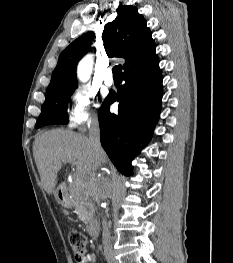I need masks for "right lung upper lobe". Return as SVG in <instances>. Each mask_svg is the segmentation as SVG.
I'll return each instance as SVG.
<instances>
[{
    "instance_id": "obj_1",
    "label": "right lung upper lobe",
    "mask_w": 233,
    "mask_h": 263,
    "mask_svg": "<svg viewBox=\"0 0 233 263\" xmlns=\"http://www.w3.org/2000/svg\"><path fill=\"white\" fill-rule=\"evenodd\" d=\"M117 12L118 16L105 25L102 33L108 57L124 58V72L157 60L152 33L147 28L144 17L138 13L137 7L121 5ZM94 36L93 32L85 33L62 51L46 96L77 86L76 66L87 53Z\"/></svg>"
}]
</instances>
